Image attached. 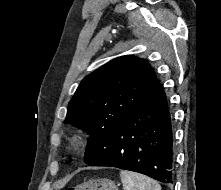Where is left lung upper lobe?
Returning <instances> with one entry per match:
<instances>
[{
  "label": "left lung upper lobe",
  "mask_w": 221,
  "mask_h": 190,
  "mask_svg": "<svg viewBox=\"0 0 221 190\" xmlns=\"http://www.w3.org/2000/svg\"><path fill=\"white\" fill-rule=\"evenodd\" d=\"M158 84L150 65L132 55L109 61L81 81L64 123L90 135L85 163L89 165L104 151L118 124L138 109Z\"/></svg>",
  "instance_id": "obj_1"
}]
</instances>
